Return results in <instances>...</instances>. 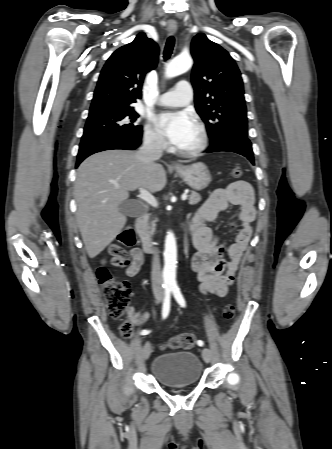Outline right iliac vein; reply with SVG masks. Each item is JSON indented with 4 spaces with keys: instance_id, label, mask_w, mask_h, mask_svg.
I'll list each match as a JSON object with an SVG mask.
<instances>
[{
    "instance_id": "63e3f726",
    "label": "right iliac vein",
    "mask_w": 332,
    "mask_h": 449,
    "mask_svg": "<svg viewBox=\"0 0 332 449\" xmlns=\"http://www.w3.org/2000/svg\"><path fill=\"white\" fill-rule=\"evenodd\" d=\"M158 301H159V302L161 301V297H158ZM150 354H151V344H150L149 342H147V343L143 346V349H142V355H143V358H144L145 360L148 359L149 356H150Z\"/></svg>"
}]
</instances>
